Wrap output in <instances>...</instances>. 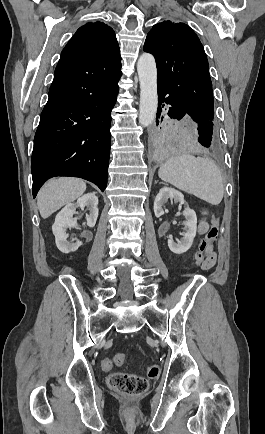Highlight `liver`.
Masks as SVG:
<instances>
[{
    "label": "liver",
    "instance_id": "6515ba94",
    "mask_svg": "<svg viewBox=\"0 0 265 434\" xmlns=\"http://www.w3.org/2000/svg\"><path fill=\"white\" fill-rule=\"evenodd\" d=\"M86 190V184L79 178H53L42 186L37 196V206L41 218H49L62 206L71 204L80 198Z\"/></svg>",
    "mask_w": 265,
    "mask_h": 434
}]
</instances>
